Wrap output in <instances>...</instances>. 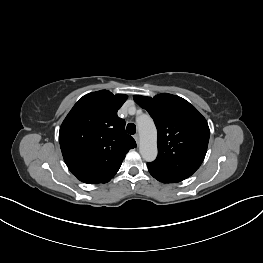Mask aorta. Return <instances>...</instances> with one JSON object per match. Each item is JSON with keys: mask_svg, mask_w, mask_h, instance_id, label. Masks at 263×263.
I'll return each mask as SVG.
<instances>
[{"mask_svg": "<svg viewBox=\"0 0 263 263\" xmlns=\"http://www.w3.org/2000/svg\"><path fill=\"white\" fill-rule=\"evenodd\" d=\"M140 135V154L145 161L151 162L157 157V130L149 116L138 121Z\"/></svg>", "mask_w": 263, "mask_h": 263, "instance_id": "1", "label": "aorta"}]
</instances>
